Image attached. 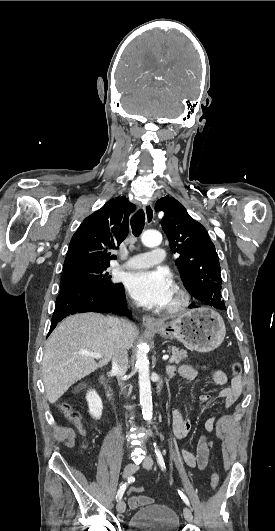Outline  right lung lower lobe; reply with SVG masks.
<instances>
[{
	"label": "right lung lower lobe",
	"instance_id": "obj_1",
	"mask_svg": "<svg viewBox=\"0 0 275 531\" xmlns=\"http://www.w3.org/2000/svg\"><path fill=\"white\" fill-rule=\"evenodd\" d=\"M83 312L131 315V312L126 310L123 285L117 284L107 289L80 282L61 285L48 335L65 317Z\"/></svg>",
	"mask_w": 275,
	"mask_h": 531
}]
</instances>
